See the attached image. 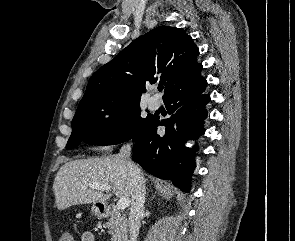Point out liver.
I'll use <instances>...</instances> for the list:
<instances>
[{
  "mask_svg": "<svg viewBox=\"0 0 295 241\" xmlns=\"http://www.w3.org/2000/svg\"><path fill=\"white\" fill-rule=\"evenodd\" d=\"M110 185L117 197H130L133 184L126 162L118 155L66 162L55 177L53 191L58 210L72 205L102 203L109 195L89 185ZM88 186L87 188H82Z\"/></svg>",
  "mask_w": 295,
  "mask_h": 241,
  "instance_id": "6515ba94",
  "label": "liver"
}]
</instances>
